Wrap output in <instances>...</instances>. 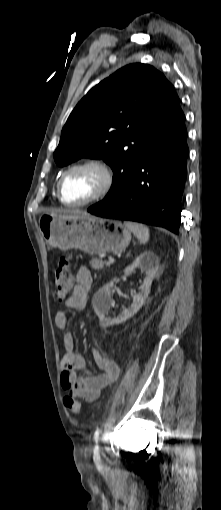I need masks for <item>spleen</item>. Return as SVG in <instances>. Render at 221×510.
<instances>
[{
	"instance_id": "obj_1",
	"label": "spleen",
	"mask_w": 221,
	"mask_h": 510,
	"mask_svg": "<svg viewBox=\"0 0 221 510\" xmlns=\"http://www.w3.org/2000/svg\"><path fill=\"white\" fill-rule=\"evenodd\" d=\"M124 226L133 232V234L138 238L140 243L145 244L149 240V229L143 224L125 221Z\"/></svg>"
}]
</instances>
